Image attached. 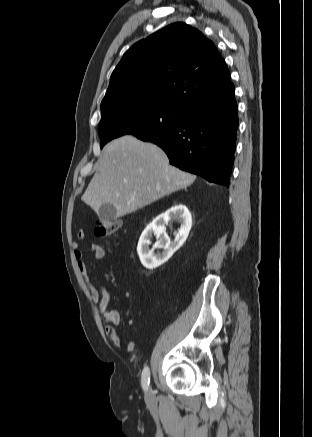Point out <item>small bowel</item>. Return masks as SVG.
Instances as JSON below:
<instances>
[{"label":"small bowel","instance_id":"small-bowel-1","mask_svg":"<svg viewBox=\"0 0 312 437\" xmlns=\"http://www.w3.org/2000/svg\"><path fill=\"white\" fill-rule=\"evenodd\" d=\"M78 240L82 241L85 239V232L79 230L77 233ZM74 257L77 261V267L84 277L85 284L90 292L92 300L98 305L102 319L105 326V334L107 338L112 342V344L118 348H123L125 352L131 353L135 350V343L132 341L123 343L118 334L116 333L113 325H118L121 322L120 314L112 309H109V303L111 300V295L109 290L105 286L96 287L89 276V263L85 259V253L78 242L73 244ZM90 253L93 261H98L103 259L107 251L106 249L97 244L92 243L90 245Z\"/></svg>","mask_w":312,"mask_h":437}]
</instances>
